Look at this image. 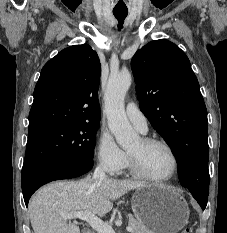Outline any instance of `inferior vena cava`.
<instances>
[{
	"mask_svg": "<svg viewBox=\"0 0 227 233\" xmlns=\"http://www.w3.org/2000/svg\"><path fill=\"white\" fill-rule=\"evenodd\" d=\"M105 178V166L103 164H99L94 170L93 179L96 181H102Z\"/></svg>",
	"mask_w": 227,
	"mask_h": 233,
	"instance_id": "obj_1",
	"label": "inferior vena cava"
}]
</instances>
